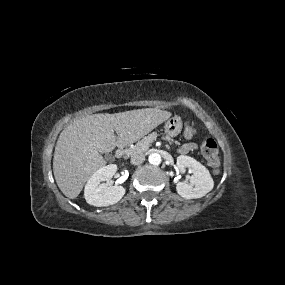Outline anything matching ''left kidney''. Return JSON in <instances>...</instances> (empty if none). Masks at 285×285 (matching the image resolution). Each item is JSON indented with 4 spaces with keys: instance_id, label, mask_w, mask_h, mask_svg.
Segmentation results:
<instances>
[{
    "instance_id": "left-kidney-1",
    "label": "left kidney",
    "mask_w": 285,
    "mask_h": 285,
    "mask_svg": "<svg viewBox=\"0 0 285 285\" xmlns=\"http://www.w3.org/2000/svg\"><path fill=\"white\" fill-rule=\"evenodd\" d=\"M177 166L181 171L189 169L193 173L189 178V183H177L176 190L181 197L186 199L201 198L213 189L214 181L208 169L194 158L180 155L177 158Z\"/></svg>"
}]
</instances>
